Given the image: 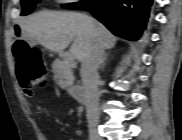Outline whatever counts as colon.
<instances>
[{
    "mask_svg": "<svg viewBox=\"0 0 182 140\" xmlns=\"http://www.w3.org/2000/svg\"><path fill=\"white\" fill-rule=\"evenodd\" d=\"M17 61V72L21 86L27 97H32L35 87L46 81L47 69L40 51L18 40L13 45Z\"/></svg>",
    "mask_w": 182,
    "mask_h": 140,
    "instance_id": "1",
    "label": "colon"
}]
</instances>
